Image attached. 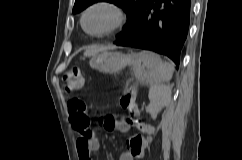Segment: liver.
<instances>
[{
	"label": "liver",
	"mask_w": 242,
	"mask_h": 160,
	"mask_svg": "<svg viewBox=\"0 0 242 160\" xmlns=\"http://www.w3.org/2000/svg\"><path fill=\"white\" fill-rule=\"evenodd\" d=\"M117 48L114 45L111 46H103V45H93L88 47L85 52H84V56L85 57H95L96 55H98L100 52H104L107 50H113Z\"/></svg>",
	"instance_id": "6515ba94"
}]
</instances>
